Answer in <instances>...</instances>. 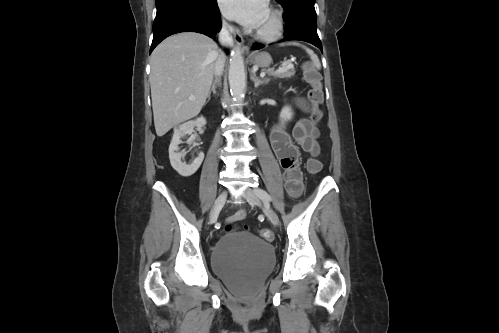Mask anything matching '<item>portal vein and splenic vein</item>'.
Listing matches in <instances>:
<instances>
[{"mask_svg": "<svg viewBox=\"0 0 499 333\" xmlns=\"http://www.w3.org/2000/svg\"><path fill=\"white\" fill-rule=\"evenodd\" d=\"M292 67H293V64H288L286 67H279L278 71H282V70H284V69H287V68H292ZM265 74H266L265 72H262V73L260 74V76H261V77H264V76H265ZM194 99H195V97H194V96H190V97H189V100H194Z\"/></svg>", "mask_w": 499, "mask_h": 333, "instance_id": "1", "label": "portal vein and splenic vein"}]
</instances>
